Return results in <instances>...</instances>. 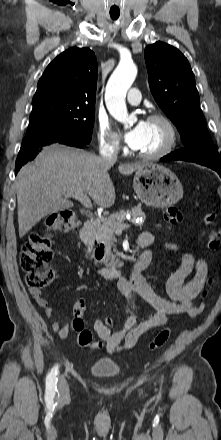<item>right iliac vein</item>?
<instances>
[{
	"instance_id": "63e3f726",
	"label": "right iliac vein",
	"mask_w": 221,
	"mask_h": 440,
	"mask_svg": "<svg viewBox=\"0 0 221 440\" xmlns=\"http://www.w3.org/2000/svg\"><path fill=\"white\" fill-rule=\"evenodd\" d=\"M58 390L61 399H66L69 396V386L64 378H60L58 383Z\"/></svg>"
}]
</instances>
